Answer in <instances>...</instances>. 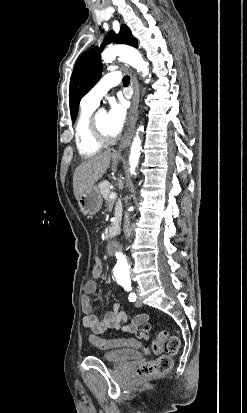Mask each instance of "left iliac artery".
<instances>
[{
  "mask_svg": "<svg viewBox=\"0 0 247 413\" xmlns=\"http://www.w3.org/2000/svg\"><path fill=\"white\" fill-rule=\"evenodd\" d=\"M122 286L124 287V289H125L126 291H131V290H132V287H131L130 284H122ZM136 298H137V296H136V294H135L134 292H131V293L129 294L128 299H129L130 302L136 301Z\"/></svg>",
  "mask_w": 247,
  "mask_h": 413,
  "instance_id": "1",
  "label": "left iliac artery"
}]
</instances>
